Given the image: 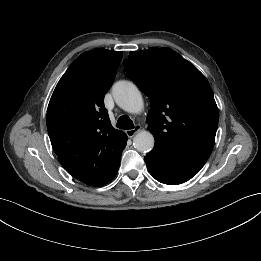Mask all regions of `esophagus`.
Segmentation results:
<instances>
[{"label": "esophagus", "instance_id": "1", "mask_svg": "<svg viewBox=\"0 0 261 261\" xmlns=\"http://www.w3.org/2000/svg\"><path fill=\"white\" fill-rule=\"evenodd\" d=\"M141 130V126L140 125H136L134 129H128L126 130V134L128 137H133L134 135H136L139 131Z\"/></svg>", "mask_w": 261, "mask_h": 261}]
</instances>
